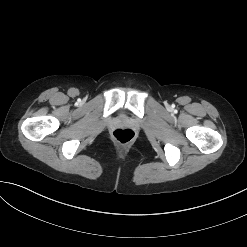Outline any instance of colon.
Wrapping results in <instances>:
<instances>
[{
    "instance_id": "5ec220e1",
    "label": "colon",
    "mask_w": 247,
    "mask_h": 247,
    "mask_svg": "<svg viewBox=\"0 0 247 247\" xmlns=\"http://www.w3.org/2000/svg\"><path fill=\"white\" fill-rule=\"evenodd\" d=\"M113 137L118 142L127 144L134 139L135 133L132 129L129 128H119L113 132Z\"/></svg>"
}]
</instances>
